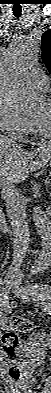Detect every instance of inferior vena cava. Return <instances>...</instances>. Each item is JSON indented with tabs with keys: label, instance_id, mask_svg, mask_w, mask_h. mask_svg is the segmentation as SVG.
<instances>
[{
	"label": "inferior vena cava",
	"instance_id": "obj_1",
	"mask_svg": "<svg viewBox=\"0 0 51 393\" xmlns=\"http://www.w3.org/2000/svg\"><path fill=\"white\" fill-rule=\"evenodd\" d=\"M2 197L6 202L7 213L13 232L14 254L8 274L20 275V267L29 245V228L25 201L22 195L15 189L13 183L3 185Z\"/></svg>",
	"mask_w": 51,
	"mask_h": 393
}]
</instances>
